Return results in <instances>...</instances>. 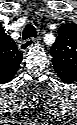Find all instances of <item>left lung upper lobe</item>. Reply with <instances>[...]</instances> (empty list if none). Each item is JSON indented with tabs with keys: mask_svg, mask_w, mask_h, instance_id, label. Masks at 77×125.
Listing matches in <instances>:
<instances>
[{
	"mask_svg": "<svg viewBox=\"0 0 77 125\" xmlns=\"http://www.w3.org/2000/svg\"><path fill=\"white\" fill-rule=\"evenodd\" d=\"M51 55L53 66L77 67V25L63 24L58 29V37L51 47Z\"/></svg>",
	"mask_w": 77,
	"mask_h": 125,
	"instance_id": "1",
	"label": "left lung upper lobe"
}]
</instances>
